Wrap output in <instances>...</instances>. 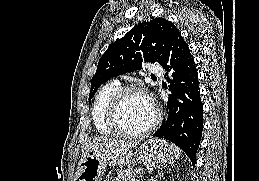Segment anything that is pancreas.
Segmentation results:
<instances>
[{"mask_svg": "<svg viewBox=\"0 0 259 181\" xmlns=\"http://www.w3.org/2000/svg\"><path fill=\"white\" fill-rule=\"evenodd\" d=\"M140 172V169L127 168L125 170H118L117 176L119 179H121V181H132L131 179L138 176Z\"/></svg>", "mask_w": 259, "mask_h": 181, "instance_id": "cf45deb5", "label": "pancreas"}]
</instances>
